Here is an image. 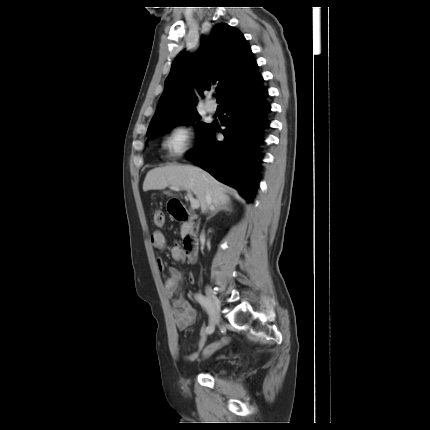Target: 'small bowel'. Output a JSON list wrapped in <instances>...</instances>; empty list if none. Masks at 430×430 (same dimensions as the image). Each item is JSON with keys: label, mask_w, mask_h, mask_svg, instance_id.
<instances>
[{"label": "small bowel", "mask_w": 430, "mask_h": 430, "mask_svg": "<svg viewBox=\"0 0 430 430\" xmlns=\"http://www.w3.org/2000/svg\"><path fill=\"white\" fill-rule=\"evenodd\" d=\"M151 243L158 250H167L176 261H181L185 258L184 250L178 244L174 243L173 245L168 246L166 238L160 230H155L151 234ZM157 267L159 270L164 269V263L160 258L157 259ZM183 279V274L177 268L169 267L168 277L164 282L166 294L172 303L175 324L179 330L188 328L197 316V311L192 303L185 299L180 292V285ZM185 279L190 284H193L195 280L194 275L191 272L186 274ZM207 335V328H202L200 336L196 342V350L185 357L187 361H195L198 359L201 352L203 354L207 347Z\"/></svg>", "instance_id": "small-bowel-1"}]
</instances>
